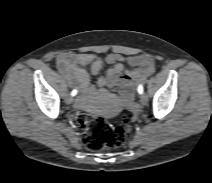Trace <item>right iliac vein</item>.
<instances>
[{"label":"right iliac vein","instance_id":"obj_1","mask_svg":"<svg viewBox=\"0 0 212 183\" xmlns=\"http://www.w3.org/2000/svg\"><path fill=\"white\" fill-rule=\"evenodd\" d=\"M65 102H66L67 104H71V103L73 102V97H72L71 95H67V96L65 97Z\"/></svg>","mask_w":212,"mask_h":183}]
</instances>
